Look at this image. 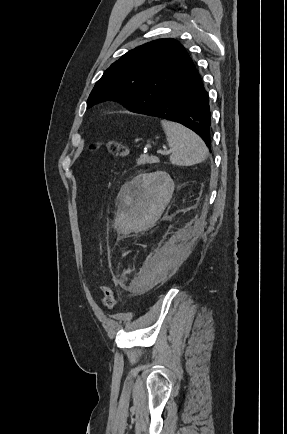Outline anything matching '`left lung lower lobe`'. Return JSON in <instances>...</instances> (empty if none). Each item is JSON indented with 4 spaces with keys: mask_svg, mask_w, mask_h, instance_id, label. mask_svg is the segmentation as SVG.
Wrapping results in <instances>:
<instances>
[{
    "mask_svg": "<svg viewBox=\"0 0 287 434\" xmlns=\"http://www.w3.org/2000/svg\"><path fill=\"white\" fill-rule=\"evenodd\" d=\"M208 93L194 67L173 89L155 105L138 113L183 124L211 146L210 108Z\"/></svg>",
    "mask_w": 287,
    "mask_h": 434,
    "instance_id": "left-lung-lower-lobe-1",
    "label": "left lung lower lobe"
}]
</instances>
